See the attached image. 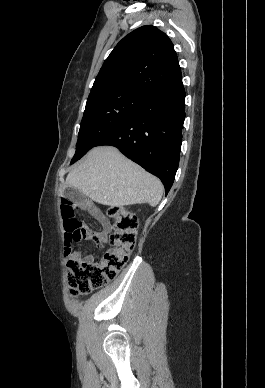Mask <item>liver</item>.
Returning a JSON list of instances; mask_svg holds the SVG:
<instances>
[{
	"mask_svg": "<svg viewBox=\"0 0 265 388\" xmlns=\"http://www.w3.org/2000/svg\"><path fill=\"white\" fill-rule=\"evenodd\" d=\"M65 184L93 202L112 208L129 204H150L154 208L164 190L158 178L127 160L113 146L93 148L83 164L71 170Z\"/></svg>",
	"mask_w": 265,
	"mask_h": 388,
	"instance_id": "6515ba94",
	"label": "liver"
}]
</instances>
